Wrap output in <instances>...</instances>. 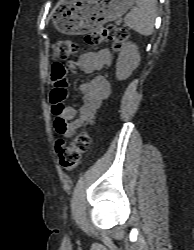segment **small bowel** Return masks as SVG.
Wrapping results in <instances>:
<instances>
[{"label":"small bowel","mask_w":194,"mask_h":250,"mask_svg":"<svg viewBox=\"0 0 194 250\" xmlns=\"http://www.w3.org/2000/svg\"><path fill=\"white\" fill-rule=\"evenodd\" d=\"M112 60L108 49L85 52L78 61L65 65L56 63L52 68V77L61 76L54 83L58 91L67 92V83L64 76L74 70H80L85 74L92 73L105 66H109ZM80 89L83 92V102L79 108L64 105L62 101L58 108H53L56 132L66 138H71L75 132L87 124L93 123L96 112L103 99L110 94V84L104 76H96L92 80H82Z\"/></svg>","instance_id":"c3829d8e"}]
</instances>
